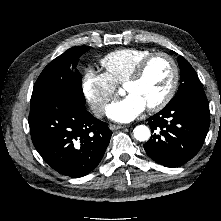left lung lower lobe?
Returning a JSON list of instances; mask_svg holds the SVG:
<instances>
[{
  "label": "left lung lower lobe",
  "instance_id": "left-lung-lower-lobe-1",
  "mask_svg": "<svg viewBox=\"0 0 221 221\" xmlns=\"http://www.w3.org/2000/svg\"><path fill=\"white\" fill-rule=\"evenodd\" d=\"M147 121L155 131L144 144L147 155L167 167L183 165L197 154L207 135L210 125L207 98H187L166 106Z\"/></svg>",
  "mask_w": 221,
  "mask_h": 221
}]
</instances>
